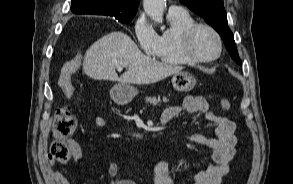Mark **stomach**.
Here are the masks:
<instances>
[{
  "mask_svg": "<svg viewBox=\"0 0 293 184\" xmlns=\"http://www.w3.org/2000/svg\"><path fill=\"white\" fill-rule=\"evenodd\" d=\"M172 85L179 92H189L196 85V79L192 74L180 71L173 75ZM137 94L138 90L128 83H119L110 91L111 98L118 104L131 102Z\"/></svg>",
  "mask_w": 293,
  "mask_h": 184,
  "instance_id": "stomach-1",
  "label": "stomach"
}]
</instances>
